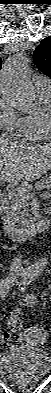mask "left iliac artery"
I'll return each mask as SVG.
<instances>
[{"label": "left iliac artery", "instance_id": "obj_1", "mask_svg": "<svg viewBox=\"0 0 51 393\" xmlns=\"http://www.w3.org/2000/svg\"><path fill=\"white\" fill-rule=\"evenodd\" d=\"M36 277H37L36 273L28 272V275L26 277H24V279L21 283V285H22L21 289L24 290L26 288V285L29 284L30 282H32Z\"/></svg>", "mask_w": 51, "mask_h": 393}]
</instances>
